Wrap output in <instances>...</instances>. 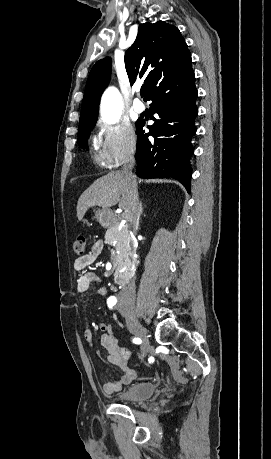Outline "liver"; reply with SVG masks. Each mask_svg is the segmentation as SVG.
I'll list each match as a JSON object with an SVG mask.
<instances>
[{
	"label": "liver",
	"mask_w": 271,
	"mask_h": 459,
	"mask_svg": "<svg viewBox=\"0 0 271 459\" xmlns=\"http://www.w3.org/2000/svg\"><path fill=\"white\" fill-rule=\"evenodd\" d=\"M133 184L134 180L123 172H109L107 176H102L80 196L77 204L78 220H83L91 206H101L103 210H109L119 202L120 210H131Z\"/></svg>",
	"instance_id": "obj_1"
}]
</instances>
